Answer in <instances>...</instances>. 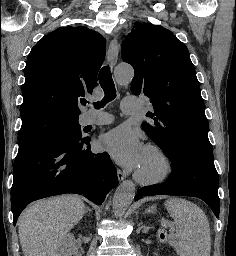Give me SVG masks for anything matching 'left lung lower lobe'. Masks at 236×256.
Returning a JSON list of instances; mask_svg holds the SVG:
<instances>
[{"label":"left lung lower lobe","mask_w":236,"mask_h":256,"mask_svg":"<svg viewBox=\"0 0 236 256\" xmlns=\"http://www.w3.org/2000/svg\"><path fill=\"white\" fill-rule=\"evenodd\" d=\"M173 171L166 182L141 188L135 200L142 196L183 195L205 201L219 216V176L214 166L213 152L188 148L168 156Z\"/></svg>","instance_id":"1"}]
</instances>
